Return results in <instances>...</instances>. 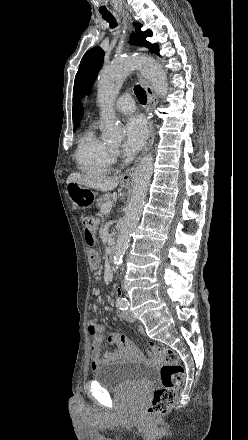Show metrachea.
I'll return each instance as SVG.
<instances>
[{
    "mask_svg": "<svg viewBox=\"0 0 248 440\" xmlns=\"http://www.w3.org/2000/svg\"><path fill=\"white\" fill-rule=\"evenodd\" d=\"M103 19H105L109 24L111 28H115L117 26L116 19L112 15H103ZM134 92L136 94L137 99L141 104H146L147 102V95L146 92L140 85H136L134 87Z\"/></svg>",
    "mask_w": 248,
    "mask_h": 440,
    "instance_id": "3493384b",
    "label": "trachea"
}]
</instances>
